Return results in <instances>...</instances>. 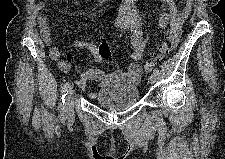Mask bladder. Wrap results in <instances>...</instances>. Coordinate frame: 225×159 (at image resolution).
I'll list each match as a JSON object with an SVG mask.
<instances>
[{"label":"bladder","mask_w":225,"mask_h":159,"mask_svg":"<svg viewBox=\"0 0 225 159\" xmlns=\"http://www.w3.org/2000/svg\"><path fill=\"white\" fill-rule=\"evenodd\" d=\"M139 100V90L135 84L110 82L103 85L94 95L96 104L105 108L120 111Z\"/></svg>","instance_id":"obj_1"}]
</instances>
